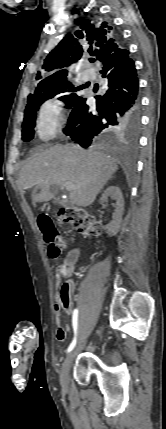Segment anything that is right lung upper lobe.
I'll use <instances>...</instances> for the list:
<instances>
[{"mask_svg":"<svg viewBox=\"0 0 166 429\" xmlns=\"http://www.w3.org/2000/svg\"><path fill=\"white\" fill-rule=\"evenodd\" d=\"M103 27L106 26L95 28L91 24L87 26L82 24L83 32L79 31L74 35H66L44 60L42 71H39L36 77L37 80L42 79L38 85H51L66 81L67 70L63 67L79 60L86 50L91 52L92 46L96 48L94 55L100 62L109 59L111 56L112 59L117 57L123 51V47ZM88 46L90 47L88 48Z\"/></svg>","mask_w":166,"mask_h":429,"instance_id":"obj_1","label":"right lung upper lobe"}]
</instances>
